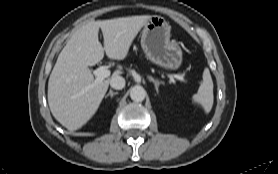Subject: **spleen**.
I'll return each mask as SVG.
<instances>
[{"label": "spleen", "instance_id": "1", "mask_svg": "<svg viewBox=\"0 0 278 174\" xmlns=\"http://www.w3.org/2000/svg\"><path fill=\"white\" fill-rule=\"evenodd\" d=\"M203 81L198 89V92L193 95L192 100L195 103L202 105L206 113H209L213 106L214 95H213V81L208 68L203 71Z\"/></svg>", "mask_w": 278, "mask_h": 174}]
</instances>
